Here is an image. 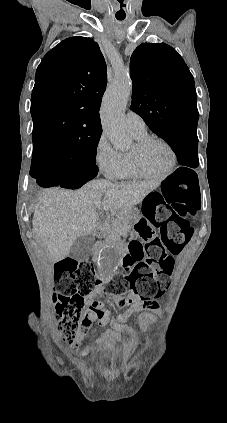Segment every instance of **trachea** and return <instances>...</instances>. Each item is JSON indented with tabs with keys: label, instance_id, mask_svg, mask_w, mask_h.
<instances>
[{
	"label": "trachea",
	"instance_id": "1",
	"mask_svg": "<svg viewBox=\"0 0 227 423\" xmlns=\"http://www.w3.org/2000/svg\"><path fill=\"white\" fill-rule=\"evenodd\" d=\"M118 20H123V18H118Z\"/></svg>",
	"mask_w": 227,
	"mask_h": 423
}]
</instances>
